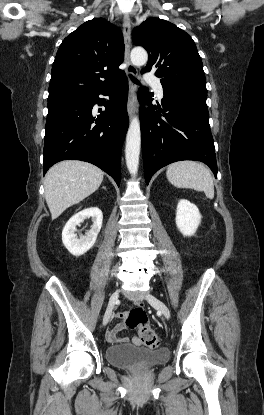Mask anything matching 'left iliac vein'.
Listing matches in <instances>:
<instances>
[{"mask_svg": "<svg viewBox=\"0 0 264 415\" xmlns=\"http://www.w3.org/2000/svg\"><path fill=\"white\" fill-rule=\"evenodd\" d=\"M146 299L151 305L157 307L162 312V314L164 315L166 319H170V316H171L170 310L163 301H161L160 299H158L152 294H148Z\"/></svg>", "mask_w": 264, "mask_h": 415, "instance_id": "4c4485c4", "label": "left iliac vein"}]
</instances>
